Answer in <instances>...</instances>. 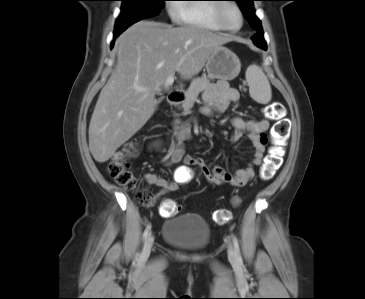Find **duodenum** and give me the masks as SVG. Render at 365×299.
I'll list each match as a JSON object with an SVG mask.
<instances>
[{
  "instance_id": "duodenum-1",
  "label": "duodenum",
  "mask_w": 365,
  "mask_h": 299,
  "mask_svg": "<svg viewBox=\"0 0 365 299\" xmlns=\"http://www.w3.org/2000/svg\"><path fill=\"white\" fill-rule=\"evenodd\" d=\"M186 96V93L182 89H177L169 93L168 102L172 105L180 104Z\"/></svg>"
}]
</instances>
